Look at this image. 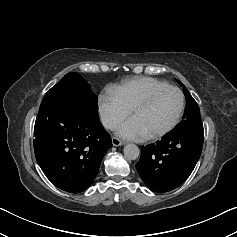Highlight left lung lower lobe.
Here are the masks:
<instances>
[{
    "mask_svg": "<svg viewBox=\"0 0 237 237\" xmlns=\"http://www.w3.org/2000/svg\"><path fill=\"white\" fill-rule=\"evenodd\" d=\"M203 138V131L183 132L143 146L136 168L144 183L160 193L180 186L201 155Z\"/></svg>",
    "mask_w": 237,
    "mask_h": 237,
    "instance_id": "obj_1",
    "label": "left lung lower lobe"
}]
</instances>
